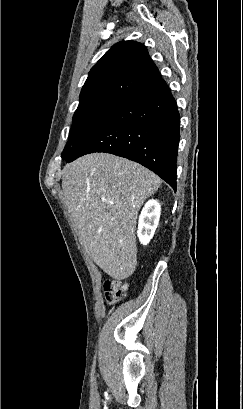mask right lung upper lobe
Listing matches in <instances>:
<instances>
[{"label":"right lung upper lobe","instance_id":"1","mask_svg":"<svg viewBox=\"0 0 243 409\" xmlns=\"http://www.w3.org/2000/svg\"><path fill=\"white\" fill-rule=\"evenodd\" d=\"M161 79L144 45L122 41L92 67L80 93V103L99 99H126Z\"/></svg>","mask_w":243,"mask_h":409}]
</instances>
